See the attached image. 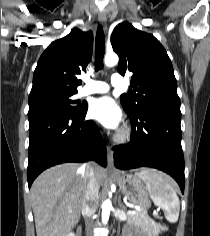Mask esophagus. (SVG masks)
Masks as SVG:
<instances>
[{"mask_svg": "<svg viewBox=\"0 0 210 236\" xmlns=\"http://www.w3.org/2000/svg\"><path fill=\"white\" fill-rule=\"evenodd\" d=\"M99 21L105 30L107 28V17L104 11H100L98 15ZM107 159H108V169L114 170V157H113V150L111 146H107Z\"/></svg>", "mask_w": 210, "mask_h": 236, "instance_id": "obj_1", "label": "esophagus"}]
</instances>
